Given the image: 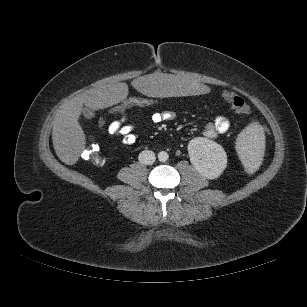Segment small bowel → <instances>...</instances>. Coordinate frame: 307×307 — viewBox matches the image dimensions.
Here are the masks:
<instances>
[{"instance_id":"small-bowel-1","label":"small bowel","mask_w":307,"mask_h":307,"mask_svg":"<svg viewBox=\"0 0 307 307\" xmlns=\"http://www.w3.org/2000/svg\"><path fill=\"white\" fill-rule=\"evenodd\" d=\"M135 120L138 119L137 114H133ZM175 118L174 112L170 110L158 111L151 114L149 122L152 125H159L165 122L172 121ZM130 115L110 122L107 126V132L110 135L118 136L126 145L134 144L138 139L137 125L135 122H130ZM230 121L224 116H218L214 121L207 124L204 134L208 138H215L220 134L228 131Z\"/></svg>"}]
</instances>
